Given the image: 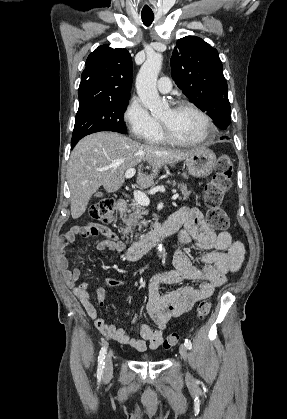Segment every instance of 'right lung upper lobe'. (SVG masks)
<instances>
[{"mask_svg":"<svg viewBox=\"0 0 287 419\" xmlns=\"http://www.w3.org/2000/svg\"><path fill=\"white\" fill-rule=\"evenodd\" d=\"M132 59L126 49L99 46L85 64L79 86V109L130 98Z\"/></svg>","mask_w":287,"mask_h":419,"instance_id":"cb5924a9","label":"right lung upper lobe"}]
</instances>
